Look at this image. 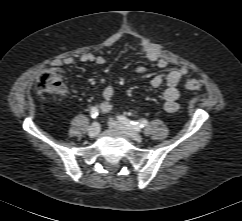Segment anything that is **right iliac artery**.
Instances as JSON below:
<instances>
[{
  "label": "right iliac artery",
  "instance_id": "82829eb1",
  "mask_svg": "<svg viewBox=\"0 0 242 221\" xmlns=\"http://www.w3.org/2000/svg\"><path fill=\"white\" fill-rule=\"evenodd\" d=\"M90 114H91V117L95 119L98 116V114H99L98 108L97 107H92Z\"/></svg>",
  "mask_w": 242,
  "mask_h": 221
}]
</instances>
